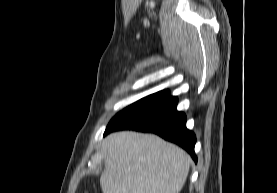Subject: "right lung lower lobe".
Wrapping results in <instances>:
<instances>
[{
  "label": "right lung lower lobe",
  "mask_w": 277,
  "mask_h": 193,
  "mask_svg": "<svg viewBox=\"0 0 277 193\" xmlns=\"http://www.w3.org/2000/svg\"><path fill=\"white\" fill-rule=\"evenodd\" d=\"M178 98L168 90L149 95L117 114L106 127L104 135L132 129L152 132L184 148L195 162L196 137L186 128V115L176 110Z\"/></svg>",
  "instance_id": "98d812e1"
}]
</instances>
